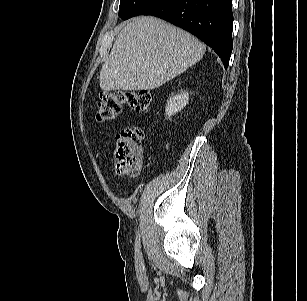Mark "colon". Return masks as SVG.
Here are the masks:
<instances>
[{
    "mask_svg": "<svg viewBox=\"0 0 307 301\" xmlns=\"http://www.w3.org/2000/svg\"><path fill=\"white\" fill-rule=\"evenodd\" d=\"M152 96L143 90H115L104 92L97 105L96 119L100 122L113 120L124 106L137 113L150 108ZM116 170L120 175L137 176L142 171V132L138 128H127L120 132L114 146Z\"/></svg>",
    "mask_w": 307,
    "mask_h": 301,
    "instance_id": "colon-1",
    "label": "colon"
}]
</instances>
